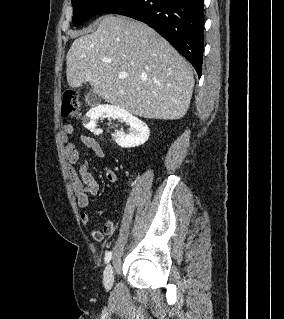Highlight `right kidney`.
Segmentation results:
<instances>
[{
  "label": "right kidney",
  "mask_w": 284,
  "mask_h": 319,
  "mask_svg": "<svg viewBox=\"0 0 284 319\" xmlns=\"http://www.w3.org/2000/svg\"><path fill=\"white\" fill-rule=\"evenodd\" d=\"M103 116L121 119L130 126L127 133L117 130L113 134V138L119 146L123 148L137 147L148 140L150 134L148 126L118 106H97L92 108L84 118V126L89 130H95L96 121Z\"/></svg>",
  "instance_id": "right-kidney-1"
}]
</instances>
